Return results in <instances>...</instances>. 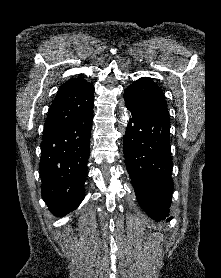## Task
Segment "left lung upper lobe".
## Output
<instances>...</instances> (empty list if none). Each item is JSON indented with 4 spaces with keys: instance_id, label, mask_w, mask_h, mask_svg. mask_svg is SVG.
<instances>
[{
    "instance_id": "left-lung-upper-lobe-1",
    "label": "left lung upper lobe",
    "mask_w": 221,
    "mask_h": 278,
    "mask_svg": "<svg viewBox=\"0 0 221 278\" xmlns=\"http://www.w3.org/2000/svg\"><path fill=\"white\" fill-rule=\"evenodd\" d=\"M125 104L143 113L168 112L160 87L149 78H140L124 92Z\"/></svg>"
}]
</instances>
